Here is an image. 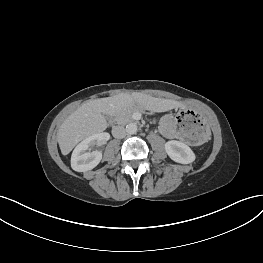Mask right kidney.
<instances>
[{
    "mask_svg": "<svg viewBox=\"0 0 263 263\" xmlns=\"http://www.w3.org/2000/svg\"><path fill=\"white\" fill-rule=\"evenodd\" d=\"M109 139L108 133H96L79 143L71 156V167L77 172H85L95 168L102 159L98 150L90 151L95 145H101Z\"/></svg>",
    "mask_w": 263,
    "mask_h": 263,
    "instance_id": "1",
    "label": "right kidney"
}]
</instances>
